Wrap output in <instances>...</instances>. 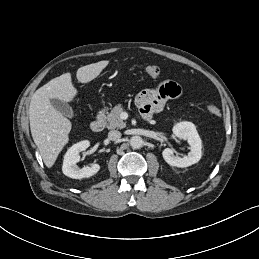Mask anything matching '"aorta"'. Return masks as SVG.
Masks as SVG:
<instances>
[{"mask_svg":"<svg viewBox=\"0 0 259 259\" xmlns=\"http://www.w3.org/2000/svg\"><path fill=\"white\" fill-rule=\"evenodd\" d=\"M130 145L133 149H139L143 146V139L140 136H133L130 138Z\"/></svg>","mask_w":259,"mask_h":259,"instance_id":"762f6f07","label":"aorta"}]
</instances>
